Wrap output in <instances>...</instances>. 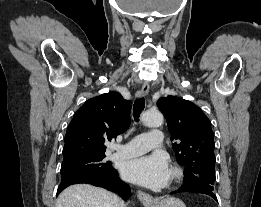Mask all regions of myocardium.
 Here are the masks:
<instances>
[{"mask_svg":"<svg viewBox=\"0 0 261 207\" xmlns=\"http://www.w3.org/2000/svg\"><path fill=\"white\" fill-rule=\"evenodd\" d=\"M183 177V172L179 167L173 166L169 170L166 187L170 188L178 184Z\"/></svg>","mask_w":261,"mask_h":207,"instance_id":"f54148a6","label":"myocardium"}]
</instances>
